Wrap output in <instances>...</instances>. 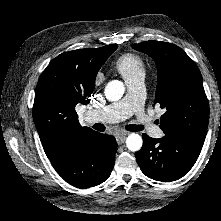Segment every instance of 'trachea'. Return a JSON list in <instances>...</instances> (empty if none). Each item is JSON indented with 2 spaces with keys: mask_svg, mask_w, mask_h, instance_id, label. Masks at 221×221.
<instances>
[{
  "mask_svg": "<svg viewBox=\"0 0 221 221\" xmlns=\"http://www.w3.org/2000/svg\"><path fill=\"white\" fill-rule=\"evenodd\" d=\"M94 129H96V130H98V131H102L103 130V126L101 125V124H99V123H97V124H95L94 126ZM129 127H131L132 128V130H134V131H139V130H141L138 126H136V125H130Z\"/></svg>",
  "mask_w": 221,
  "mask_h": 221,
  "instance_id": "3493384b",
  "label": "trachea"
}]
</instances>
